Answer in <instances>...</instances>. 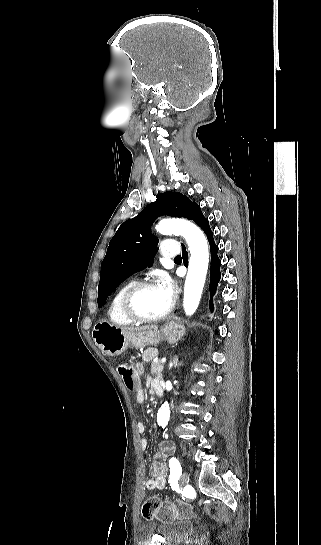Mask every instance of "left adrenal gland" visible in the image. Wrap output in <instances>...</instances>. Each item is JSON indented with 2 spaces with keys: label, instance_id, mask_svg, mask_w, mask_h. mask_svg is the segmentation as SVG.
<instances>
[{
  "label": "left adrenal gland",
  "instance_id": "1",
  "mask_svg": "<svg viewBox=\"0 0 321 545\" xmlns=\"http://www.w3.org/2000/svg\"><path fill=\"white\" fill-rule=\"evenodd\" d=\"M179 363H178V359H174V367H178Z\"/></svg>",
  "mask_w": 321,
  "mask_h": 545
}]
</instances>
